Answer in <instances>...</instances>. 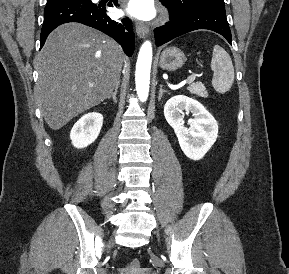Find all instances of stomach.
<instances>
[{"mask_svg":"<svg viewBox=\"0 0 289 274\" xmlns=\"http://www.w3.org/2000/svg\"><path fill=\"white\" fill-rule=\"evenodd\" d=\"M186 62L183 51L177 47H168L160 55L159 65L167 71H175L181 68Z\"/></svg>","mask_w":289,"mask_h":274,"instance_id":"stomach-1","label":"stomach"}]
</instances>
